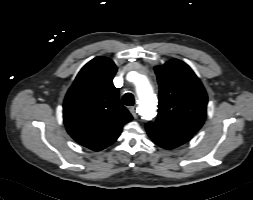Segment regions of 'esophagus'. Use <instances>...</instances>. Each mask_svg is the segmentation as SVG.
Here are the masks:
<instances>
[{
  "instance_id": "34e87169",
  "label": "esophagus",
  "mask_w": 253,
  "mask_h": 200,
  "mask_svg": "<svg viewBox=\"0 0 253 200\" xmlns=\"http://www.w3.org/2000/svg\"><path fill=\"white\" fill-rule=\"evenodd\" d=\"M130 113L132 114V116H133L135 119L138 118V112H137V110H136L135 107H131V108H130Z\"/></svg>"
}]
</instances>
